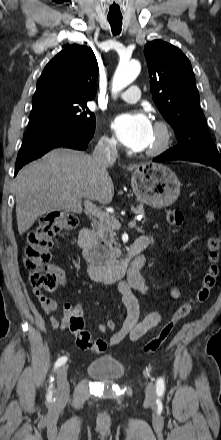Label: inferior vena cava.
Returning a JSON list of instances; mask_svg holds the SVG:
<instances>
[{"instance_id": "602c4592", "label": "inferior vena cava", "mask_w": 221, "mask_h": 440, "mask_svg": "<svg viewBox=\"0 0 221 440\" xmlns=\"http://www.w3.org/2000/svg\"><path fill=\"white\" fill-rule=\"evenodd\" d=\"M118 157L116 142L109 139H101L93 151L92 158L98 168L112 165Z\"/></svg>"}]
</instances>
